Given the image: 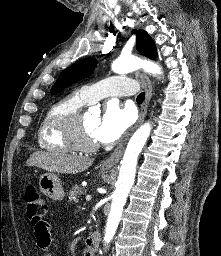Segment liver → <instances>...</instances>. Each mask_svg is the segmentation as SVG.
<instances>
[{"mask_svg": "<svg viewBox=\"0 0 221 256\" xmlns=\"http://www.w3.org/2000/svg\"><path fill=\"white\" fill-rule=\"evenodd\" d=\"M93 164V160L77 155L59 152L37 151L26 162V166H36L48 172L76 174L83 172Z\"/></svg>", "mask_w": 221, "mask_h": 256, "instance_id": "1", "label": "liver"}]
</instances>
